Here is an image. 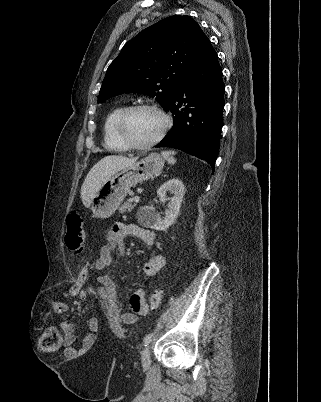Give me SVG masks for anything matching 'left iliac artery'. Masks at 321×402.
I'll return each mask as SVG.
<instances>
[{
  "label": "left iliac artery",
  "mask_w": 321,
  "mask_h": 402,
  "mask_svg": "<svg viewBox=\"0 0 321 402\" xmlns=\"http://www.w3.org/2000/svg\"><path fill=\"white\" fill-rule=\"evenodd\" d=\"M152 337H153V333H150L144 338V341H143L144 346H147L151 342Z\"/></svg>",
  "instance_id": "obj_1"
}]
</instances>
